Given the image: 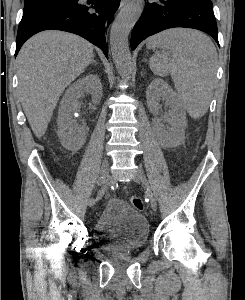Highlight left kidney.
Masks as SVG:
<instances>
[{"mask_svg":"<svg viewBox=\"0 0 245 300\" xmlns=\"http://www.w3.org/2000/svg\"><path fill=\"white\" fill-rule=\"evenodd\" d=\"M147 105L151 113L158 114L161 108L160 99L170 107L165 117L171 127L162 123L156 124L157 133L161 143L167 147L177 146L183 139L187 126L186 112L179 96L162 79H154L149 85L147 92Z\"/></svg>","mask_w":245,"mask_h":300,"instance_id":"left-kidney-1","label":"left kidney"}]
</instances>
